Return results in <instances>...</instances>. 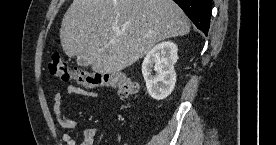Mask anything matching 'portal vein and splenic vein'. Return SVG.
Wrapping results in <instances>:
<instances>
[{"instance_id":"18ae733b","label":"portal vein and splenic vein","mask_w":276,"mask_h":145,"mask_svg":"<svg viewBox=\"0 0 276 145\" xmlns=\"http://www.w3.org/2000/svg\"><path fill=\"white\" fill-rule=\"evenodd\" d=\"M117 34H118V35H121L122 33H121V31H118Z\"/></svg>"}]
</instances>
